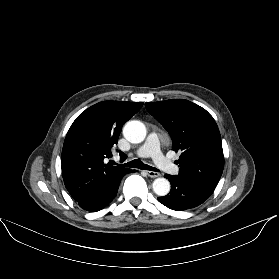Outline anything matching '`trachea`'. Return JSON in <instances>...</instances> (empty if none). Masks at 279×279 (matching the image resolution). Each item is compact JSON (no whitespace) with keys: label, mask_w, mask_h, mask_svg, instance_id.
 Returning a JSON list of instances; mask_svg holds the SVG:
<instances>
[{"label":"trachea","mask_w":279,"mask_h":279,"mask_svg":"<svg viewBox=\"0 0 279 279\" xmlns=\"http://www.w3.org/2000/svg\"><path fill=\"white\" fill-rule=\"evenodd\" d=\"M119 166H121V167L139 168V169H142V170H149V171H155V172L159 171L158 169H156L154 167H151V166H149L147 164H144L139 159L132 160V161H130L128 163H124V164H121Z\"/></svg>","instance_id":"1"}]
</instances>
